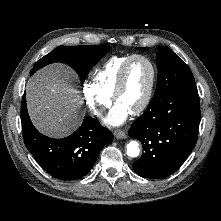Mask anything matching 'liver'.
<instances>
[{
  "instance_id": "1",
  "label": "liver",
  "mask_w": 221,
  "mask_h": 221,
  "mask_svg": "<svg viewBox=\"0 0 221 221\" xmlns=\"http://www.w3.org/2000/svg\"><path fill=\"white\" fill-rule=\"evenodd\" d=\"M77 76L64 64H51L39 70L26 85L29 116L44 135L62 138L81 124L82 100L74 88Z\"/></svg>"
}]
</instances>
